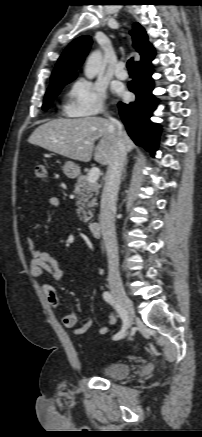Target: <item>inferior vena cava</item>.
<instances>
[{
    "label": "inferior vena cava",
    "mask_w": 202,
    "mask_h": 437,
    "mask_svg": "<svg viewBox=\"0 0 202 437\" xmlns=\"http://www.w3.org/2000/svg\"><path fill=\"white\" fill-rule=\"evenodd\" d=\"M109 120L117 129V137L114 142L112 161L107 167L104 179L105 183L101 196L100 220L103 243L105 245L108 259V280L109 282H119V256L114 217L116 213V200L120 179L126 161L127 152L122 138V125L112 117H109Z\"/></svg>",
    "instance_id": "inferior-vena-cava-1"
}]
</instances>
